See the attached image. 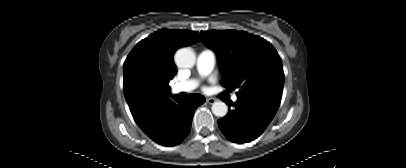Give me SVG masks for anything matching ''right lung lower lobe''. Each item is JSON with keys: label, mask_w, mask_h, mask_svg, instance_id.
<instances>
[{"label": "right lung lower lobe", "mask_w": 406, "mask_h": 168, "mask_svg": "<svg viewBox=\"0 0 406 168\" xmlns=\"http://www.w3.org/2000/svg\"><path fill=\"white\" fill-rule=\"evenodd\" d=\"M172 98L176 102L168 96L134 118L145 134L164 146L177 145L186 138L196 108L205 101L199 94H191L183 100Z\"/></svg>", "instance_id": "1"}]
</instances>
